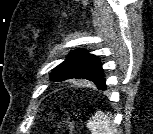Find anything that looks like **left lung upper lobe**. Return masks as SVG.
<instances>
[{"mask_svg":"<svg viewBox=\"0 0 153 134\" xmlns=\"http://www.w3.org/2000/svg\"><path fill=\"white\" fill-rule=\"evenodd\" d=\"M73 78L87 79L98 88L106 86L100 60L86 50L71 52L68 58L55 67L50 75V79L56 82Z\"/></svg>","mask_w":153,"mask_h":134,"instance_id":"5c2ea615","label":"left lung upper lobe"}]
</instances>
